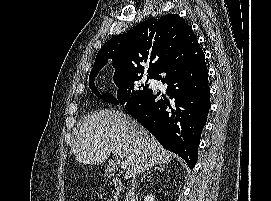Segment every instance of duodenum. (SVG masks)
<instances>
[{
	"instance_id": "1",
	"label": "duodenum",
	"mask_w": 271,
	"mask_h": 201,
	"mask_svg": "<svg viewBox=\"0 0 271 201\" xmlns=\"http://www.w3.org/2000/svg\"><path fill=\"white\" fill-rule=\"evenodd\" d=\"M112 185L115 189V191L118 193V194H121L123 191H124V185L123 183L121 182V180L119 179H114L112 181Z\"/></svg>"
}]
</instances>
